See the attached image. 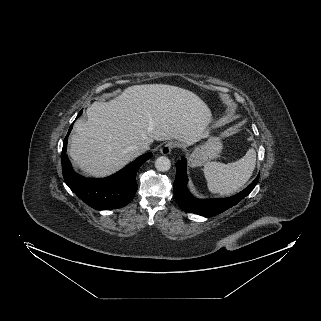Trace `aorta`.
<instances>
[{
    "mask_svg": "<svg viewBox=\"0 0 321 321\" xmlns=\"http://www.w3.org/2000/svg\"><path fill=\"white\" fill-rule=\"evenodd\" d=\"M155 167L158 171L165 172L170 169L171 162L167 157L161 156L155 160Z\"/></svg>",
    "mask_w": 321,
    "mask_h": 321,
    "instance_id": "1",
    "label": "aorta"
}]
</instances>
